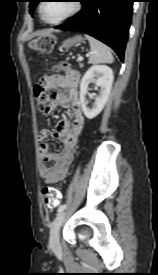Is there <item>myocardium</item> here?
Returning a JSON list of instances; mask_svg holds the SVG:
<instances>
[{
	"label": "myocardium",
	"mask_w": 158,
	"mask_h": 275,
	"mask_svg": "<svg viewBox=\"0 0 158 275\" xmlns=\"http://www.w3.org/2000/svg\"><path fill=\"white\" fill-rule=\"evenodd\" d=\"M44 3L45 2H42L40 5H39V14H40V17L41 19L47 23V24H50V25H57V24H60L70 18H72L74 15H76L80 10H81V1L80 0H75L73 1V8L72 10L67 14L65 15L64 17L60 18L59 20H56V21H48L44 15H43V6H44Z\"/></svg>",
	"instance_id": "f54148a6"
}]
</instances>
